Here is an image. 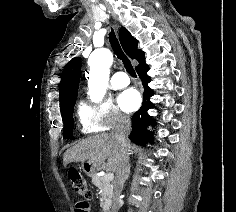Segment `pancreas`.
Wrapping results in <instances>:
<instances>
[{"instance_id": "pancreas-1", "label": "pancreas", "mask_w": 236, "mask_h": 212, "mask_svg": "<svg viewBox=\"0 0 236 212\" xmlns=\"http://www.w3.org/2000/svg\"><path fill=\"white\" fill-rule=\"evenodd\" d=\"M92 183L100 190V207L107 211L110 208L113 195L110 181L105 177L93 175Z\"/></svg>"}]
</instances>
